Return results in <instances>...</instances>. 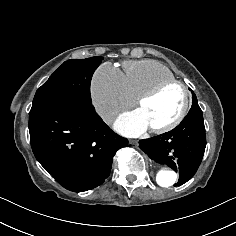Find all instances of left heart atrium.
<instances>
[{
	"mask_svg": "<svg viewBox=\"0 0 236 236\" xmlns=\"http://www.w3.org/2000/svg\"><path fill=\"white\" fill-rule=\"evenodd\" d=\"M114 127L119 133L130 137L139 136L149 128L140 109L121 115Z\"/></svg>",
	"mask_w": 236,
	"mask_h": 236,
	"instance_id": "1",
	"label": "left heart atrium"
}]
</instances>
